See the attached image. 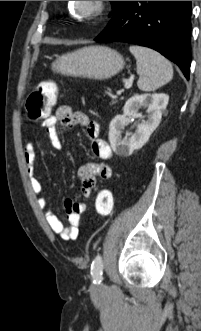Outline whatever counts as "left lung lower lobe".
<instances>
[{
  "label": "left lung lower lobe",
  "instance_id": "left-lung-lower-lobe-1",
  "mask_svg": "<svg viewBox=\"0 0 201 331\" xmlns=\"http://www.w3.org/2000/svg\"><path fill=\"white\" fill-rule=\"evenodd\" d=\"M191 1H122L96 41L152 48L176 63L189 79Z\"/></svg>",
  "mask_w": 201,
  "mask_h": 331
}]
</instances>
